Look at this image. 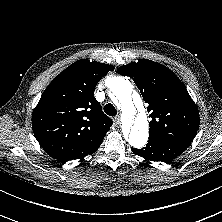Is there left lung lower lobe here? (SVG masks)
Listing matches in <instances>:
<instances>
[{
	"label": "left lung lower lobe",
	"instance_id": "1",
	"mask_svg": "<svg viewBox=\"0 0 222 222\" xmlns=\"http://www.w3.org/2000/svg\"><path fill=\"white\" fill-rule=\"evenodd\" d=\"M189 145L190 142L183 140L150 138L145 148H132V152L146 160L168 163L184 152Z\"/></svg>",
	"mask_w": 222,
	"mask_h": 222
}]
</instances>
